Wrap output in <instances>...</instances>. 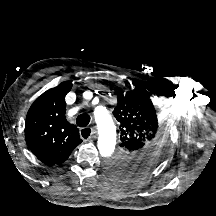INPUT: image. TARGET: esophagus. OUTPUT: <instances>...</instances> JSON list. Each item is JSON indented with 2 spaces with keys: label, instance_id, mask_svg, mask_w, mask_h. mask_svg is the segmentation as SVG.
Returning <instances> with one entry per match:
<instances>
[{
  "label": "esophagus",
  "instance_id": "34e87169",
  "mask_svg": "<svg viewBox=\"0 0 216 216\" xmlns=\"http://www.w3.org/2000/svg\"><path fill=\"white\" fill-rule=\"evenodd\" d=\"M88 132H90V135L88 136V138H86L87 140H90V139L96 137V131L93 128H89V127H85V128L80 129L81 137L84 138L83 134H87Z\"/></svg>",
  "mask_w": 216,
  "mask_h": 216
}]
</instances>
